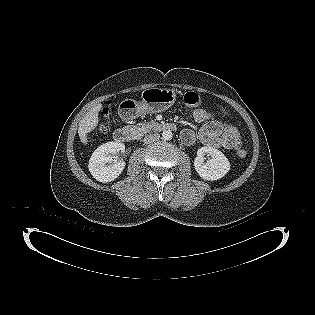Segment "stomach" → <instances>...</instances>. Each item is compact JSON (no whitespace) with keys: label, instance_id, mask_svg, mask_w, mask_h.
Segmentation results:
<instances>
[{"label":"stomach","instance_id":"0dacf381","mask_svg":"<svg viewBox=\"0 0 315 315\" xmlns=\"http://www.w3.org/2000/svg\"><path fill=\"white\" fill-rule=\"evenodd\" d=\"M176 101V93L170 89H149L143 92L142 101L133 99L122 101L118 108L119 116L124 120H133L140 116L142 111L157 113L171 107Z\"/></svg>","mask_w":315,"mask_h":315}]
</instances>
